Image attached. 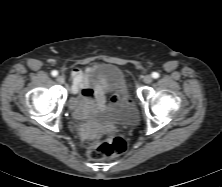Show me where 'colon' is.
<instances>
[{"label": "colon", "mask_w": 222, "mask_h": 187, "mask_svg": "<svg viewBox=\"0 0 222 187\" xmlns=\"http://www.w3.org/2000/svg\"><path fill=\"white\" fill-rule=\"evenodd\" d=\"M112 102L118 101V96L113 95ZM127 141L120 135L107 133H94L88 139L86 155L92 160H104L124 153Z\"/></svg>", "instance_id": "colon-1"}]
</instances>
